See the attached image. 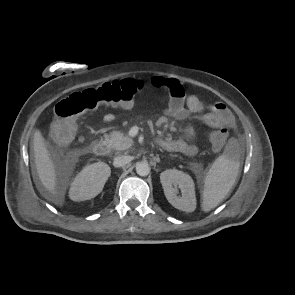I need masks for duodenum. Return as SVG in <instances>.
<instances>
[{"label": "duodenum", "instance_id": "duodenum-1", "mask_svg": "<svg viewBox=\"0 0 295 295\" xmlns=\"http://www.w3.org/2000/svg\"><path fill=\"white\" fill-rule=\"evenodd\" d=\"M87 152H91L97 156H106L109 152V146L103 141H94L85 147Z\"/></svg>", "mask_w": 295, "mask_h": 295}]
</instances>
